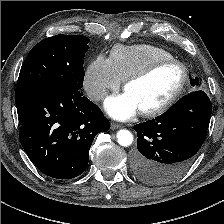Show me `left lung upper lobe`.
Returning <instances> with one entry per match:
<instances>
[{
    "mask_svg": "<svg viewBox=\"0 0 224 224\" xmlns=\"http://www.w3.org/2000/svg\"><path fill=\"white\" fill-rule=\"evenodd\" d=\"M190 84L195 87V89L197 88V86L199 85V79L196 77L195 79L194 78H191L190 77Z\"/></svg>",
    "mask_w": 224,
    "mask_h": 224,
    "instance_id": "obj_1",
    "label": "left lung upper lobe"
}]
</instances>
